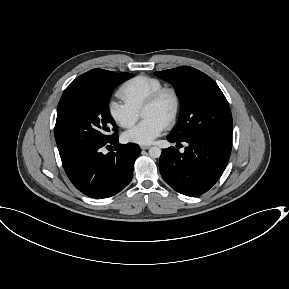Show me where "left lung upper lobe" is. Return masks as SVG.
I'll use <instances>...</instances> for the list:
<instances>
[{
	"mask_svg": "<svg viewBox=\"0 0 289 289\" xmlns=\"http://www.w3.org/2000/svg\"><path fill=\"white\" fill-rule=\"evenodd\" d=\"M156 75L171 82L180 98L179 121L170 135L178 139L191 136L231 139L233 122L229 104L208 75L189 66L159 71Z\"/></svg>",
	"mask_w": 289,
	"mask_h": 289,
	"instance_id": "left-lung-upper-lobe-1",
	"label": "left lung upper lobe"
}]
</instances>
